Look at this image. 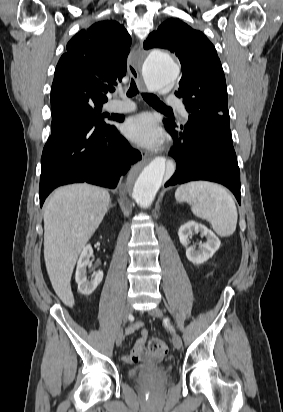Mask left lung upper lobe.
<instances>
[{"label": "left lung upper lobe", "instance_id": "5c2ea615", "mask_svg": "<svg viewBox=\"0 0 283 412\" xmlns=\"http://www.w3.org/2000/svg\"><path fill=\"white\" fill-rule=\"evenodd\" d=\"M144 48H164L179 58L182 77L175 94L189 113L184 127L200 129L214 143L234 149L225 76L212 43L202 32L169 19L148 36Z\"/></svg>", "mask_w": 283, "mask_h": 412}]
</instances>
